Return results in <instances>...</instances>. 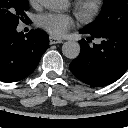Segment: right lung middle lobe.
<instances>
[{
	"mask_svg": "<svg viewBox=\"0 0 128 128\" xmlns=\"http://www.w3.org/2000/svg\"><path fill=\"white\" fill-rule=\"evenodd\" d=\"M28 0H0V29L16 28L19 21L28 19Z\"/></svg>",
	"mask_w": 128,
	"mask_h": 128,
	"instance_id": "dd1d6c3e",
	"label": "right lung middle lobe"
}]
</instances>
